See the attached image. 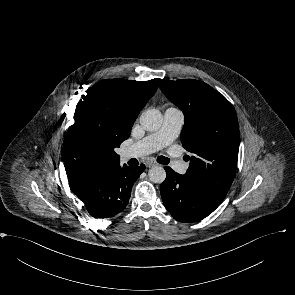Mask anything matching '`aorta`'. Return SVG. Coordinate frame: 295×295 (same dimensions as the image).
<instances>
[{
    "label": "aorta",
    "instance_id": "1",
    "mask_svg": "<svg viewBox=\"0 0 295 295\" xmlns=\"http://www.w3.org/2000/svg\"><path fill=\"white\" fill-rule=\"evenodd\" d=\"M163 122L162 114L157 109H149L140 116V124L147 131H156ZM149 180L161 184L166 178V171L161 166H154L148 171Z\"/></svg>",
    "mask_w": 295,
    "mask_h": 295
}]
</instances>
